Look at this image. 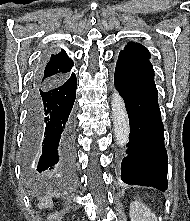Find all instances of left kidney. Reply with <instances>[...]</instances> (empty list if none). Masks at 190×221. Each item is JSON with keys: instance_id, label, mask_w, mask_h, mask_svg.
Returning a JSON list of instances; mask_svg holds the SVG:
<instances>
[{"instance_id": "1", "label": "left kidney", "mask_w": 190, "mask_h": 221, "mask_svg": "<svg viewBox=\"0 0 190 221\" xmlns=\"http://www.w3.org/2000/svg\"><path fill=\"white\" fill-rule=\"evenodd\" d=\"M131 221H157L155 214L141 202L134 201L130 205Z\"/></svg>"}]
</instances>
